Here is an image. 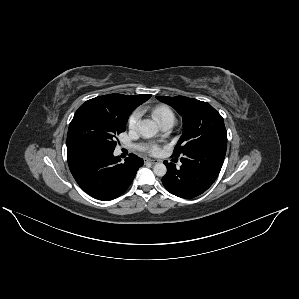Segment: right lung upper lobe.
<instances>
[{
  "label": "right lung upper lobe",
  "mask_w": 299,
  "mask_h": 299,
  "mask_svg": "<svg viewBox=\"0 0 299 299\" xmlns=\"http://www.w3.org/2000/svg\"><path fill=\"white\" fill-rule=\"evenodd\" d=\"M151 95H122L109 94L99 96L86 101L80 106L75 114H80L86 111H103L113 115H129L140 104L147 101ZM74 149V147L67 145V151Z\"/></svg>",
  "instance_id": "right-lung-upper-lobe-1"
}]
</instances>
